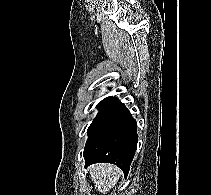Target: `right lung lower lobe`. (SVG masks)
<instances>
[{"label": "right lung lower lobe", "mask_w": 211, "mask_h": 195, "mask_svg": "<svg viewBox=\"0 0 211 195\" xmlns=\"http://www.w3.org/2000/svg\"><path fill=\"white\" fill-rule=\"evenodd\" d=\"M137 149V123L117 98H111L89 133L84 148L85 167L112 163L127 176Z\"/></svg>", "instance_id": "98d812e1"}]
</instances>
